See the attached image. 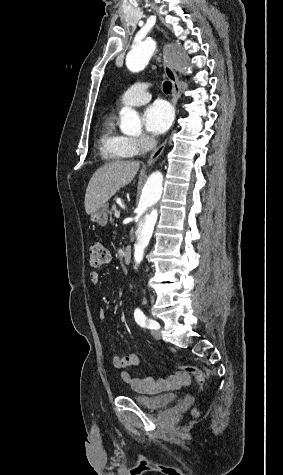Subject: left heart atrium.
Instances as JSON below:
<instances>
[{
  "mask_svg": "<svg viewBox=\"0 0 283 475\" xmlns=\"http://www.w3.org/2000/svg\"><path fill=\"white\" fill-rule=\"evenodd\" d=\"M174 118L173 107L164 100H157L145 109L143 123L147 132L159 136L171 128Z\"/></svg>",
  "mask_w": 283,
  "mask_h": 475,
  "instance_id": "1",
  "label": "left heart atrium"
}]
</instances>
